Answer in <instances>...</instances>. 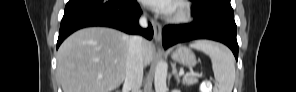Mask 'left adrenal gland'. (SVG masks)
<instances>
[{"instance_id":"1","label":"left adrenal gland","mask_w":296,"mask_h":92,"mask_svg":"<svg viewBox=\"0 0 296 92\" xmlns=\"http://www.w3.org/2000/svg\"><path fill=\"white\" fill-rule=\"evenodd\" d=\"M172 75H174L177 84H179L180 83V75H179V73H178V71L176 69V64L172 65Z\"/></svg>"}]
</instances>
